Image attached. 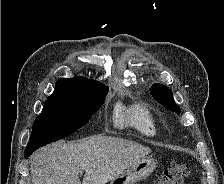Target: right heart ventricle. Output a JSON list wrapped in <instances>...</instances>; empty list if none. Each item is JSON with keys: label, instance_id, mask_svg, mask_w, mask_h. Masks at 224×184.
I'll return each mask as SVG.
<instances>
[{"label": "right heart ventricle", "instance_id": "1", "mask_svg": "<svg viewBox=\"0 0 224 184\" xmlns=\"http://www.w3.org/2000/svg\"><path fill=\"white\" fill-rule=\"evenodd\" d=\"M115 123L118 126H131L147 137H155L158 123L155 116L143 104L119 105L116 109Z\"/></svg>", "mask_w": 224, "mask_h": 184}]
</instances>
